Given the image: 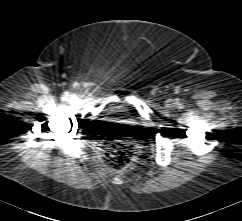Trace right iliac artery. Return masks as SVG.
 <instances>
[{
  "label": "right iliac artery",
  "mask_w": 242,
  "mask_h": 221,
  "mask_svg": "<svg viewBox=\"0 0 242 221\" xmlns=\"http://www.w3.org/2000/svg\"><path fill=\"white\" fill-rule=\"evenodd\" d=\"M67 96H68V93H67V92H65V93L62 95V98H63V99H66V98H67Z\"/></svg>",
  "instance_id": "obj_1"
}]
</instances>
